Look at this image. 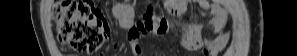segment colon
<instances>
[{
  "label": "colon",
  "mask_w": 297,
  "mask_h": 56,
  "mask_svg": "<svg viewBox=\"0 0 297 56\" xmlns=\"http://www.w3.org/2000/svg\"><path fill=\"white\" fill-rule=\"evenodd\" d=\"M54 19L60 43L79 53L98 51L110 33L106 18L89 0L57 1Z\"/></svg>",
  "instance_id": "5ec220e1"
}]
</instances>
